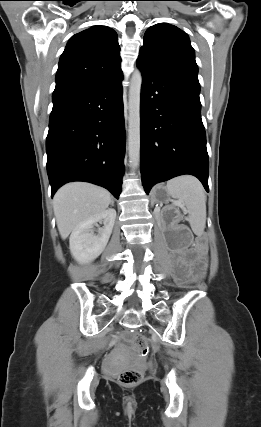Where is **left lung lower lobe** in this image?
I'll return each mask as SVG.
<instances>
[{
  "instance_id": "0a47b994",
  "label": "left lung lower lobe",
  "mask_w": 261,
  "mask_h": 427,
  "mask_svg": "<svg viewBox=\"0 0 261 427\" xmlns=\"http://www.w3.org/2000/svg\"><path fill=\"white\" fill-rule=\"evenodd\" d=\"M141 88V177L145 192L190 174L209 192V161L201 119L198 79L137 59Z\"/></svg>"
}]
</instances>
